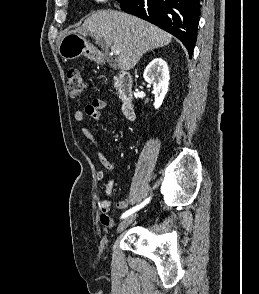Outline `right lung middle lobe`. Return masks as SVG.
<instances>
[{
    "instance_id": "dd1d6c3e",
    "label": "right lung middle lobe",
    "mask_w": 259,
    "mask_h": 294,
    "mask_svg": "<svg viewBox=\"0 0 259 294\" xmlns=\"http://www.w3.org/2000/svg\"><path fill=\"white\" fill-rule=\"evenodd\" d=\"M118 2H121L122 0H117Z\"/></svg>"
}]
</instances>
